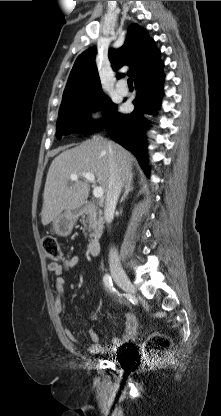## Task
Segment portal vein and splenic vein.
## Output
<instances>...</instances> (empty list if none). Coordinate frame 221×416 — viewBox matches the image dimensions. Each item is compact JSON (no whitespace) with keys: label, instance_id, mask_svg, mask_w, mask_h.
<instances>
[{"label":"portal vein and splenic vein","instance_id":"1","mask_svg":"<svg viewBox=\"0 0 221 416\" xmlns=\"http://www.w3.org/2000/svg\"><path fill=\"white\" fill-rule=\"evenodd\" d=\"M87 181H89V182H91V183H95V176H94V174H92V173H90V172H83L82 174H81ZM78 177H79V175L78 174H76V173H72L71 175H70V179L72 180V181H74V180H77L78 179ZM103 194H104V191H103V189H102V187L101 186H96V187H94V189H93V195H94V197L95 198H101V197H103Z\"/></svg>","mask_w":221,"mask_h":416}]
</instances>
